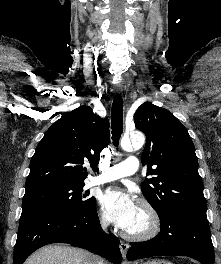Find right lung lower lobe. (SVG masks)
Listing matches in <instances>:
<instances>
[{"mask_svg": "<svg viewBox=\"0 0 221 264\" xmlns=\"http://www.w3.org/2000/svg\"><path fill=\"white\" fill-rule=\"evenodd\" d=\"M51 243H68L121 264L119 240L103 232L96 205L79 213L44 210L22 211L13 264H23L38 248Z\"/></svg>", "mask_w": 221, "mask_h": 264, "instance_id": "1", "label": "right lung lower lobe"}]
</instances>
